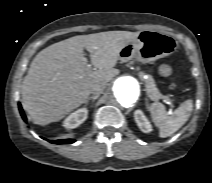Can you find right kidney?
<instances>
[{
	"mask_svg": "<svg viewBox=\"0 0 212 183\" xmlns=\"http://www.w3.org/2000/svg\"><path fill=\"white\" fill-rule=\"evenodd\" d=\"M88 116V110L86 108L78 109L71 113L63 122V126L68 129H74L82 124Z\"/></svg>",
	"mask_w": 212,
	"mask_h": 183,
	"instance_id": "1",
	"label": "right kidney"
}]
</instances>
